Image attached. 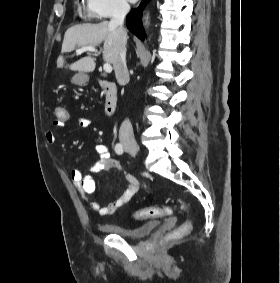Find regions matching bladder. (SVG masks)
I'll return each mask as SVG.
<instances>
[{
	"label": "bladder",
	"instance_id": "obj_1",
	"mask_svg": "<svg viewBox=\"0 0 280 283\" xmlns=\"http://www.w3.org/2000/svg\"><path fill=\"white\" fill-rule=\"evenodd\" d=\"M159 225V221H148L140 226L129 228L122 224L109 223L105 224L103 226V229L110 234H114L125 239L136 240L149 235L154 230H156Z\"/></svg>",
	"mask_w": 280,
	"mask_h": 283
}]
</instances>
